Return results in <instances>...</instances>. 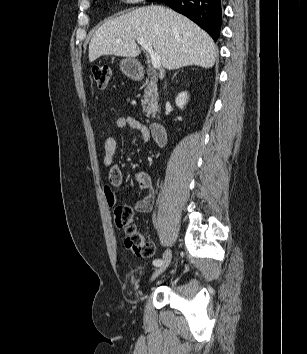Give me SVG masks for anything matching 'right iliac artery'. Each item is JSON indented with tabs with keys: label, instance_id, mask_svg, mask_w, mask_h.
Masks as SVG:
<instances>
[{
	"label": "right iliac artery",
	"instance_id": "1",
	"mask_svg": "<svg viewBox=\"0 0 307 354\" xmlns=\"http://www.w3.org/2000/svg\"><path fill=\"white\" fill-rule=\"evenodd\" d=\"M162 264V260L161 259H155L154 261H153V265L154 266H160Z\"/></svg>",
	"mask_w": 307,
	"mask_h": 354
}]
</instances>
